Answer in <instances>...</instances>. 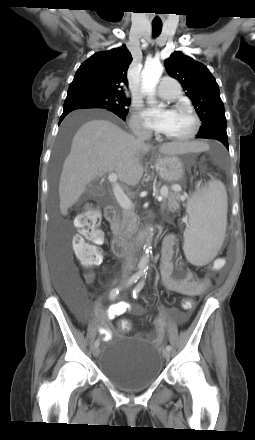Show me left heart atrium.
<instances>
[{"label": "left heart atrium", "instance_id": "1", "mask_svg": "<svg viewBox=\"0 0 255 440\" xmlns=\"http://www.w3.org/2000/svg\"><path fill=\"white\" fill-rule=\"evenodd\" d=\"M174 111L149 108L145 111L146 120L151 128L159 132H167L171 126Z\"/></svg>", "mask_w": 255, "mask_h": 440}]
</instances>
